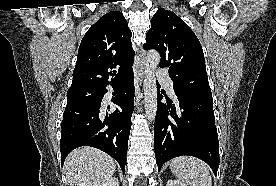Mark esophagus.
Segmentation results:
<instances>
[{"label": "esophagus", "instance_id": "34e87169", "mask_svg": "<svg viewBox=\"0 0 276 186\" xmlns=\"http://www.w3.org/2000/svg\"><path fill=\"white\" fill-rule=\"evenodd\" d=\"M140 70H139V77H143L144 74V68H145V54L144 52L141 53V59H140Z\"/></svg>", "mask_w": 276, "mask_h": 186}]
</instances>
